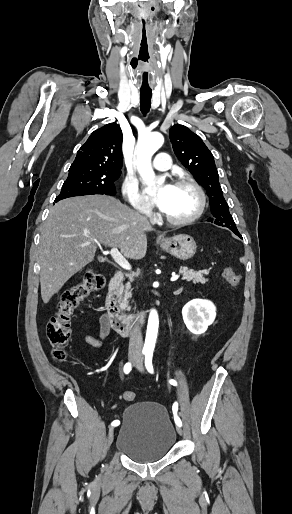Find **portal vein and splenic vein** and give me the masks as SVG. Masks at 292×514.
<instances>
[{
	"label": "portal vein and splenic vein",
	"mask_w": 292,
	"mask_h": 514,
	"mask_svg": "<svg viewBox=\"0 0 292 514\" xmlns=\"http://www.w3.org/2000/svg\"><path fill=\"white\" fill-rule=\"evenodd\" d=\"M109 254H111L113 260H115V262H117V264H119V266H121V268H124V270H131V266L129 264V262H127V260H125V258H123L122 254H120L119 250H117V248H112V250H110ZM179 276H172L171 278V282H175V280H178Z\"/></svg>",
	"instance_id": "obj_1"
}]
</instances>
